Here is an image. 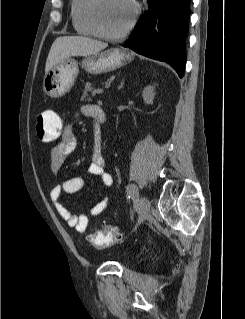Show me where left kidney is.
<instances>
[{"mask_svg": "<svg viewBox=\"0 0 245 319\" xmlns=\"http://www.w3.org/2000/svg\"><path fill=\"white\" fill-rule=\"evenodd\" d=\"M155 87L149 85L144 88L142 96L143 100L146 104H153V100L155 97V92H154Z\"/></svg>", "mask_w": 245, "mask_h": 319, "instance_id": "left-kidney-1", "label": "left kidney"}]
</instances>
